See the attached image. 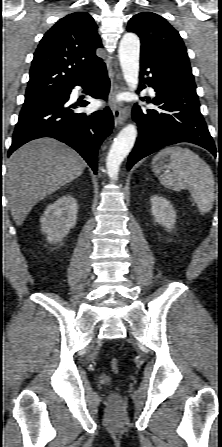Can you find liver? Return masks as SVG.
I'll return each mask as SVG.
<instances>
[{"label": "liver", "mask_w": 222, "mask_h": 447, "mask_svg": "<svg viewBox=\"0 0 222 447\" xmlns=\"http://www.w3.org/2000/svg\"><path fill=\"white\" fill-rule=\"evenodd\" d=\"M6 166L5 191L11 215L20 226L39 201L79 177L86 163L65 144L41 138L16 150Z\"/></svg>", "instance_id": "obj_1"}]
</instances>
